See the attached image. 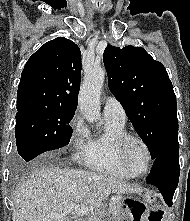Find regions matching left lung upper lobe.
I'll return each instance as SVG.
<instances>
[{
	"label": "left lung upper lobe",
	"instance_id": "obj_1",
	"mask_svg": "<svg viewBox=\"0 0 190 221\" xmlns=\"http://www.w3.org/2000/svg\"><path fill=\"white\" fill-rule=\"evenodd\" d=\"M103 61L111 92L123 106L152 159L178 143L176 96L162 63L145 49L108 45Z\"/></svg>",
	"mask_w": 190,
	"mask_h": 221
}]
</instances>
